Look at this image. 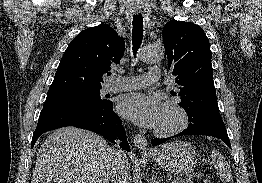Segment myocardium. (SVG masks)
<instances>
[{
  "label": "myocardium",
  "mask_w": 262,
  "mask_h": 183,
  "mask_svg": "<svg viewBox=\"0 0 262 183\" xmlns=\"http://www.w3.org/2000/svg\"><path fill=\"white\" fill-rule=\"evenodd\" d=\"M163 106L173 108L179 115V123L174 128L165 131L157 129L153 131L154 135L157 137L168 138L182 132L188 126L189 116L186 109L177 101H167Z\"/></svg>",
  "instance_id": "myocardium-1"
}]
</instances>
